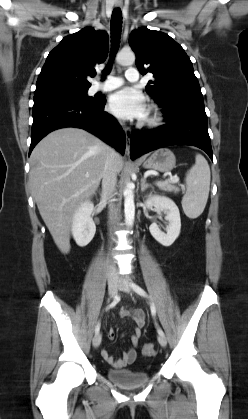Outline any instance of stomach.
Here are the masks:
<instances>
[{
  "instance_id": "1",
  "label": "stomach",
  "mask_w": 248,
  "mask_h": 419,
  "mask_svg": "<svg viewBox=\"0 0 248 419\" xmlns=\"http://www.w3.org/2000/svg\"><path fill=\"white\" fill-rule=\"evenodd\" d=\"M176 164V158L173 152L167 148H161L143 162V167L160 172L171 171Z\"/></svg>"
}]
</instances>
